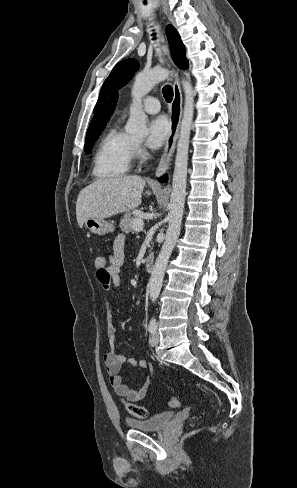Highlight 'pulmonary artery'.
Returning a JSON list of instances; mask_svg holds the SVG:
<instances>
[{
	"label": "pulmonary artery",
	"instance_id": "1",
	"mask_svg": "<svg viewBox=\"0 0 297 488\" xmlns=\"http://www.w3.org/2000/svg\"><path fill=\"white\" fill-rule=\"evenodd\" d=\"M143 109L149 114H155L160 111V103L157 98L146 97L143 101Z\"/></svg>",
	"mask_w": 297,
	"mask_h": 488
}]
</instances>
